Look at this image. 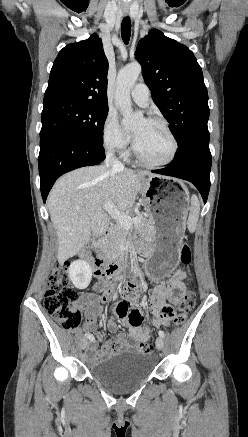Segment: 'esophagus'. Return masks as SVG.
I'll use <instances>...</instances> for the list:
<instances>
[{
	"label": "esophagus",
	"instance_id": "esophagus-1",
	"mask_svg": "<svg viewBox=\"0 0 248 437\" xmlns=\"http://www.w3.org/2000/svg\"><path fill=\"white\" fill-rule=\"evenodd\" d=\"M124 14L127 16V15L129 14V11H128V10H125V11H124Z\"/></svg>",
	"mask_w": 248,
	"mask_h": 437
}]
</instances>
